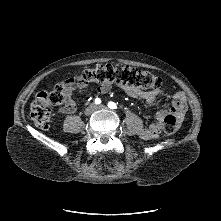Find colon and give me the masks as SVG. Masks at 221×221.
Listing matches in <instances>:
<instances>
[{
  "label": "colon",
  "instance_id": "colon-1",
  "mask_svg": "<svg viewBox=\"0 0 221 221\" xmlns=\"http://www.w3.org/2000/svg\"><path fill=\"white\" fill-rule=\"evenodd\" d=\"M77 83L79 86L91 84L120 83L141 90H157L161 85V79L148 70H142L125 65H98L86 69L76 78L57 84L52 91L39 92L30 106V118L34 125L47 130L51 122V106L62 105L69 91V85ZM177 125L173 116H168L164 121L165 132L170 134Z\"/></svg>",
  "mask_w": 221,
  "mask_h": 221
}]
</instances>
